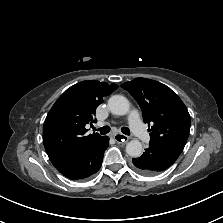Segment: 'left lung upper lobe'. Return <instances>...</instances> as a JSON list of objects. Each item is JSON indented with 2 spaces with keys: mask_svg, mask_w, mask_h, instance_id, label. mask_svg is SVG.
<instances>
[{
  "mask_svg": "<svg viewBox=\"0 0 223 223\" xmlns=\"http://www.w3.org/2000/svg\"><path fill=\"white\" fill-rule=\"evenodd\" d=\"M121 87L138 102L145 123L151 128V143L165 144L183 151L190 131V115L182 100L166 85L136 78Z\"/></svg>",
  "mask_w": 223,
  "mask_h": 223,
  "instance_id": "1",
  "label": "left lung upper lobe"
}]
</instances>
